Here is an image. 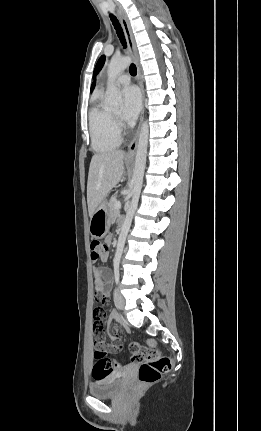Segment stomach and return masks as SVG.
<instances>
[{"label": "stomach", "instance_id": "1", "mask_svg": "<svg viewBox=\"0 0 261 431\" xmlns=\"http://www.w3.org/2000/svg\"><path fill=\"white\" fill-rule=\"evenodd\" d=\"M111 218L107 200H103L90 218L89 230L92 237L103 238L109 231Z\"/></svg>", "mask_w": 261, "mask_h": 431}]
</instances>
